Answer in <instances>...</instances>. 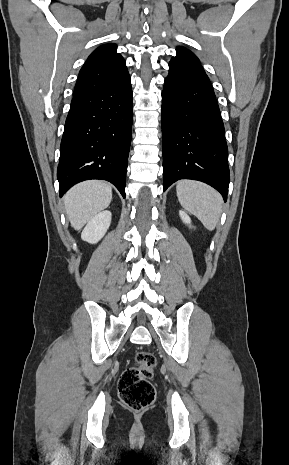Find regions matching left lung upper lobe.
<instances>
[{
  "label": "left lung upper lobe",
  "instance_id": "obj_1",
  "mask_svg": "<svg viewBox=\"0 0 289 465\" xmlns=\"http://www.w3.org/2000/svg\"><path fill=\"white\" fill-rule=\"evenodd\" d=\"M176 53L177 56L173 57L169 63L170 69L176 68L204 72L199 59L196 55H194V53L183 47H177Z\"/></svg>",
  "mask_w": 289,
  "mask_h": 465
}]
</instances>
